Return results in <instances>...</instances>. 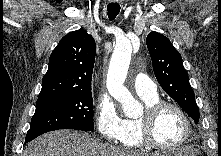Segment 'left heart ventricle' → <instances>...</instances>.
I'll return each instance as SVG.
<instances>
[{
  "instance_id": "b2bd125f",
  "label": "left heart ventricle",
  "mask_w": 221,
  "mask_h": 156,
  "mask_svg": "<svg viewBox=\"0 0 221 156\" xmlns=\"http://www.w3.org/2000/svg\"><path fill=\"white\" fill-rule=\"evenodd\" d=\"M185 133L183 119L173 109L164 110L154 126V137L162 145L174 146L178 144Z\"/></svg>"
}]
</instances>
